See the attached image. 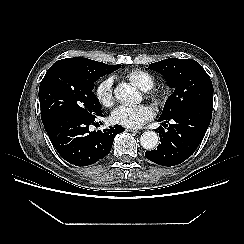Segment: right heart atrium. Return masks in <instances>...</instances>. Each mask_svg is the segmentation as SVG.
Listing matches in <instances>:
<instances>
[{
    "mask_svg": "<svg viewBox=\"0 0 244 244\" xmlns=\"http://www.w3.org/2000/svg\"><path fill=\"white\" fill-rule=\"evenodd\" d=\"M113 79L111 77L101 81L96 90L95 96L99 103L104 107H111L114 103Z\"/></svg>",
    "mask_w": 244,
    "mask_h": 244,
    "instance_id": "d8ad5b80",
    "label": "right heart atrium"
}]
</instances>
